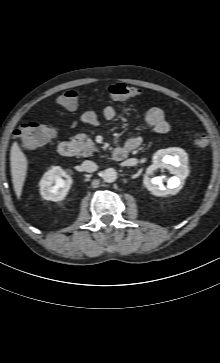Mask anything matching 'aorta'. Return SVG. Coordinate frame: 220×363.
Segmentation results:
<instances>
[{"instance_id":"obj_1","label":"aorta","mask_w":220,"mask_h":363,"mask_svg":"<svg viewBox=\"0 0 220 363\" xmlns=\"http://www.w3.org/2000/svg\"><path fill=\"white\" fill-rule=\"evenodd\" d=\"M102 178L107 183H112L117 179V171L113 168L104 170Z\"/></svg>"}]
</instances>
